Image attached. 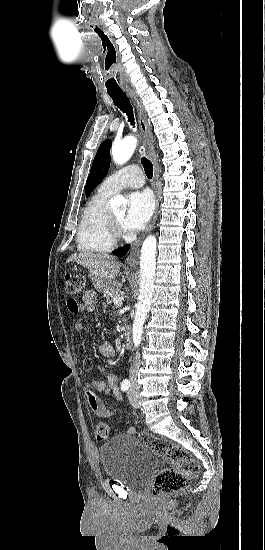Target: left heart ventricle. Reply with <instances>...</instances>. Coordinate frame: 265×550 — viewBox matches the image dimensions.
Here are the masks:
<instances>
[{
	"label": "left heart ventricle",
	"instance_id": "left-heart-ventricle-1",
	"mask_svg": "<svg viewBox=\"0 0 265 550\" xmlns=\"http://www.w3.org/2000/svg\"><path fill=\"white\" fill-rule=\"evenodd\" d=\"M113 214L115 215V217L119 220V222L122 224L123 226V221H124V217H125V211L124 210H120V211H113ZM124 227V226H123Z\"/></svg>",
	"mask_w": 265,
	"mask_h": 550
}]
</instances>
